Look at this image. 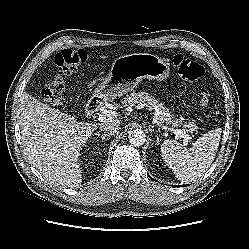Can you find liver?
Returning <instances> with one entry per match:
<instances>
[{
	"instance_id": "6515ba94",
	"label": "liver",
	"mask_w": 249,
	"mask_h": 249,
	"mask_svg": "<svg viewBox=\"0 0 249 249\" xmlns=\"http://www.w3.org/2000/svg\"><path fill=\"white\" fill-rule=\"evenodd\" d=\"M18 112L21 142L28 160L51 183L78 187L82 182L80 151L102 123L78 122L25 92ZM107 122L120 123L115 118L103 123Z\"/></svg>"
}]
</instances>
